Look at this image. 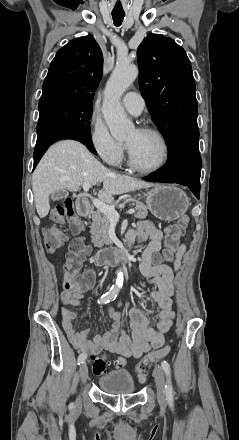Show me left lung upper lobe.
Listing matches in <instances>:
<instances>
[{"instance_id":"obj_1","label":"left lung upper lobe","mask_w":239,"mask_h":440,"mask_svg":"<svg viewBox=\"0 0 239 440\" xmlns=\"http://www.w3.org/2000/svg\"><path fill=\"white\" fill-rule=\"evenodd\" d=\"M137 57L142 96L166 142L179 131L198 128L195 80L185 50L171 38L149 34Z\"/></svg>"}]
</instances>
